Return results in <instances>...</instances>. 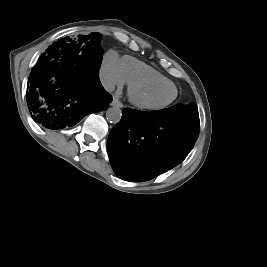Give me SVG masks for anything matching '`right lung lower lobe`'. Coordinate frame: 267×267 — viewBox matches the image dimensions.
<instances>
[{
  "label": "right lung lower lobe",
  "instance_id": "obj_1",
  "mask_svg": "<svg viewBox=\"0 0 267 267\" xmlns=\"http://www.w3.org/2000/svg\"><path fill=\"white\" fill-rule=\"evenodd\" d=\"M100 64L67 44L43 53L28 79L27 105L33 120L48 129H64L105 110L112 97L100 83Z\"/></svg>",
  "mask_w": 267,
  "mask_h": 267
}]
</instances>
